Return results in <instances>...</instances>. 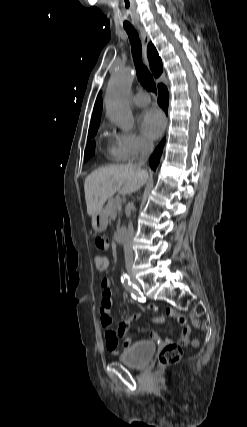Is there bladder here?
<instances>
[{"instance_id":"bladder-1","label":"bladder","mask_w":247,"mask_h":427,"mask_svg":"<svg viewBox=\"0 0 247 427\" xmlns=\"http://www.w3.org/2000/svg\"><path fill=\"white\" fill-rule=\"evenodd\" d=\"M155 351V343L138 341L122 351L118 356V360L127 367L141 368L149 363Z\"/></svg>"}]
</instances>
